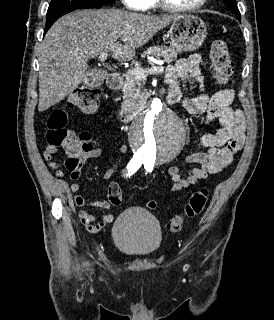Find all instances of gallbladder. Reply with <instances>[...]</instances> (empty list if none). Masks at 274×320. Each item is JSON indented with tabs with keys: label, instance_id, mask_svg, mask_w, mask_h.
Segmentation results:
<instances>
[{
	"label": "gallbladder",
	"instance_id": "gallbladder-1",
	"mask_svg": "<svg viewBox=\"0 0 274 320\" xmlns=\"http://www.w3.org/2000/svg\"><path fill=\"white\" fill-rule=\"evenodd\" d=\"M108 77L107 72H102L101 68H89L85 73V78L81 79L82 85H102Z\"/></svg>",
	"mask_w": 274,
	"mask_h": 320
}]
</instances>
